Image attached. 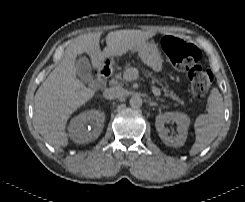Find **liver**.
Returning <instances> with one entry per match:
<instances>
[{
    "label": "liver",
    "mask_w": 245,
    "mask_h": 202,
    "mask_svg": "<svg viewBox=\"0 0 245 202\" xmlns=\"http://www.w3.org/2000/svg\"><path fill=\"white\" fill-rule=\"evenodd\" d=\"M153 32L119 30L106 36L107 47L100 49L101 33H88L76 37L66 48L57 67L48 75L35 94L34 121L39 133L54 147L68 145L65 131L69 117L94 96L76 77L77 55L87 53L95 69L104 66L105 57H118L154 36Z\"/></svg>",
    "instance_id": "obj_1"
}]
</instances>
